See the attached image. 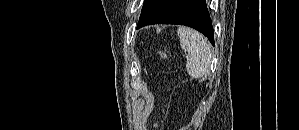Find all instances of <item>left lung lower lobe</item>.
I'll return each instance as SVG.
<instances>
[{
    "label": "left lung lower lobe",
    "instance_id": "obj_1",
    "mask_svg": "<svg viewBox=\"0 0 299 130\" xmlns=\"http://www.w3.org/2000/svg\"><path fill=\"white\" fill-rule=\"evenodd\" d=\"M157 23L192 27L214 45V31L205 0H152L137 28Z\"/></svg>",
    "mask_w": 299,
    "mask_h": 130
}]
</instances>
